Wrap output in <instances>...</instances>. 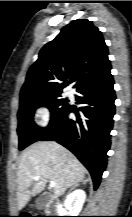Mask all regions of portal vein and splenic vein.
I'll return each mask as SVG.
<instances>
[{
    "mask_svg": "<svg viewBox=\"0 0 132 217\" xmlns=\"http://www.w3.org/2000/svg\"><path fill=\"white\" fill-rule=\"evenodd\" d=\"M39 178H40V176H36V177H35V179H39ZM49 186H50L51 188L55 187V182H54V181H49Z\"/></svg>",
    "mask_w": 132,
    "mask_h": 217,
    "instance_id": "obj_1",
    "label": "portal vein and splenic vein"
}]
</instances>
